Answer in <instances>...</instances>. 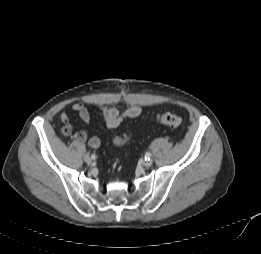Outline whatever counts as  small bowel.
I'll return each mask as SVG.
<instances>
[{
  "instance_id": "small-bowel-1",
  "label": "small bowel",
  "mask_w": 261,
  "mask_h": 254,
  "mask_svg": "<svg viewBox=\"0 0 261 254\" xmlns=\"http://www.w3.org/2000/svg\"><path fill=\"white\" fill-rule=\"evenodd\" d=\"M72 110L79 115L81 120L85 124H89L91 120V114L87 106L83 102H77L73 104ZM101 113L104 118L105 126L107 129H115L120 123L128 118H136L142 114V107L134 105L130 106L124 111H119L115 107L101 106ZM60 120L62 122L61 133L66 137H72L73 139L81 142H88V145L92 149H98L100 147V139L96 136L89 137L85 131L74 132L70 124L69 116L62 112L60 114Z\"/></svg>"
}]
</instances>
